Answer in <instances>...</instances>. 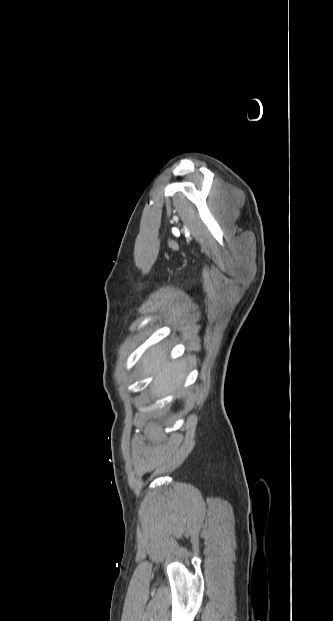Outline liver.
Segmentation results:
<instances>
[{
    "mask_svg": "<svg viewBox=\"0 0 333 621\" xmlns=\"http://www.w3.org/2000/svg\"><path fill=\"white\" fill-rule=\"evenodd\" d=\"M167 357V348L155 346L141 360L143 377L155 375L151 392L158 398L177 391L186 377L188 360L168 362Z\"/></svg>",
    "mask_w": 333,
    "mask_h": 621,
    "instance_id": "1",
    "label": "liver"
}]
</instances>
